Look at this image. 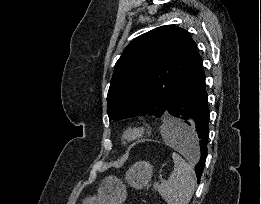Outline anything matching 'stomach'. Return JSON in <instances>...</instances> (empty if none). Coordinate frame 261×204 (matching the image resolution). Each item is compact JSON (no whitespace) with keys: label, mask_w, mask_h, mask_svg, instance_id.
<instances>
[{"label":"stomach","mask_w":261,"mask_h":204,"mask_svg":"<svg viewBox=\"0 0 261 204\" xmlns=\"http://www.w3.org/2000/svg\"><path fill=\"white\" fill-rule=\"evenodd\" d=\"M153 175V166L147 161L133 164L125 174V182L136 189L147 186ZM127 197L122 179L109 175L99 183L97 195L86 197L83 204H122Z\"/></svg>","instance_id":"obj_1"}]
</instances>
